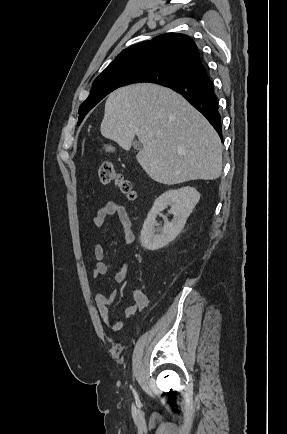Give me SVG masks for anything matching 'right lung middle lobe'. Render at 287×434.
<instances>
[{"instance_id": "1", "label": "right lung middle lobe", "mask_w": 287, "mask_h": 434, "mask_svg": "<svg viewBox=\"0 0 287 434\" xmlns=\"http://www.w3.org/2000/svg\"><path fill=\"white\" fill-rule=\"evenodd\" d=\"M181 77L180 74L170 73L161 70H146L133 74H120L110 77L95 79L88 98L79 108V121L81 123L84 116L106 95L115 89L135 83H155L165 84L176 82Z\"/></svg>"}]
</instances>
